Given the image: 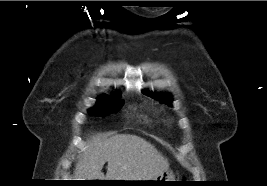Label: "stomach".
<instances>
[{"instance_id":"obj_1","label":"stomach","mask_w":267,"mask_h":186,"mask_svg":"<svg viewBox=\"0 0 267 186\" xmlns=\"http://www.w3.org/2000/svg\"><path fill=\"white\" fill-rule=\"evenodd\" d=\"M174 179H175V176L173 172L170 170H166L160 173L154 179L149 180V181H154V182H149L147 185H151V186L170 185L169 183L171 182H165V181H175Z\"/></svg>"}]
</instances>
